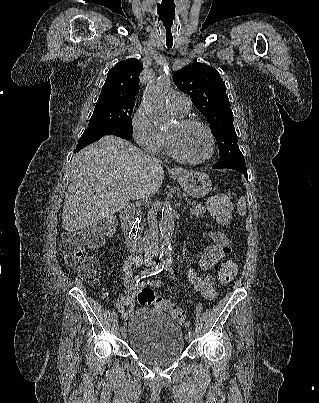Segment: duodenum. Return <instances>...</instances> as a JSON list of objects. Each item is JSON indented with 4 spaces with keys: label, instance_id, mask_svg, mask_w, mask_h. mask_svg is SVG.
I'll return each instance as SVG.
<instances>
[{
    "label": "duodenum",
    "instance_id": "obj_1",
    "mask_svg": "<svg viewBox=\"0 0 319 403\" xmlns=\"http://www.w3.org/2000/svg\"><path fill=\"white\" fill-rule=\"evenodd\" d=\"M135 206L127 205L120 214L122 231L126 237L127 247L134 252H143L145 250L148 237L140 236L138 228L134 223Z\"/></svg>",
    "mask_w": 319,
    "mask_h": 403
}]
</instances>
